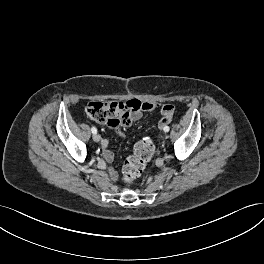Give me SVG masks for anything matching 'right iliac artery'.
I'll list each match as a JSON object with an SVG mask.
<instances>
[{
	"instance_id": "1",
	"label": "right iliac artery",
	"mask_w": 264,
	"mask_h": 264,
	"mask_svg": "<svg viewBox=\"0 0 264 264\" xmlns=\"http://www.w3.org/2000/svg\"><path fill=\"white\" fill-rule=\"evenodd\" d=\"M91 131H92L93 134H96L97 133V129L95 127H92L91 128Z\"/></svg>"
}]
</instances>
